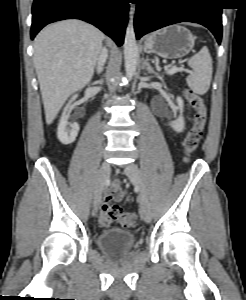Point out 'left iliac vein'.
I'll list each match as a JSON object with an SVG mask.
<instances>
[{
    "mask_svg": "<svg viewBox=\"0 0 246 300\" xmlns=\"http://www.w3.org/2000/svg\"><path fill=\"white\" fill-rule=\"evenodd\" d=\"M124 173L132 184L139 188V205L140 215L145 222L151 221V208L144 185L143 175L139 167L135 163H130L124 168Z\"/></svg>",
    "mask_w": 246,
    "mask_h": 300,
    "instance_id": "4c4485c4",
    "label": "left iliac vein"
}]
</instances>
